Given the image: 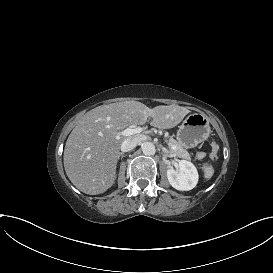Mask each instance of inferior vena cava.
<instances>
[{"mask_svg": "<svg viewBox=\"0 0 273 273\" xmlns=\"http://www.w3.org/2000/svg\"><path fill=\"white\" fill-rule=\"evenodd\" d=\"M142 141L140 136H134L131 138L126 139L122 145H121V151L122 152H128L132 149H134L137 144H139Z\"/></svg>", "mask_w": 273, "mask_h": 273, "instance_id": "602c4592", "label": "inferior vena cava"}]
</instances>
